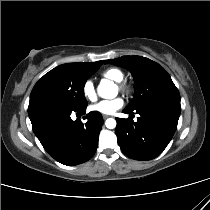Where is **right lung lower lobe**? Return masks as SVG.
Wrapping results in <instances>:
<instances>
[{
  "instance_id": "98d812e1",
  "label": "right lung lower lobe",
  "mask_w": 210,
  "mask_h": 210,
  "mask_svg": "<svg viewBox=\"0 0 210 210\" xmlns=\"http://www.w3.org/2000/svg\"><path fill=\"white\" fill-rule=\"evenodd\" d=\"M86 107H51L29 116L33 131L44 149L64 165L84 163L96 152L99 132L103 125L102 115L92 111L84 116L86 123L70 118L72 112L85 114Z\"/></svg>"
}]
</instances>
